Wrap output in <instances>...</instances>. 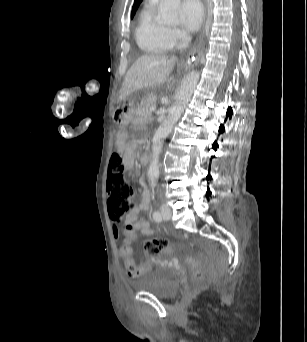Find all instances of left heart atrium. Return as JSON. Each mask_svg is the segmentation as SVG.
Instances as JSON below:
<instances>
[{
  "label": "left heart atrium",
  "mask_w": 307,
  "mask_h": 342,
  "mask_svg": "<svg viewBox=\"0 0 307 342\" xmlns=\"http://www.w3.org/2000/svg\"><path fill=\"white\" fill-rule=\"evenodd\" d=\"M181 13L180 38L183 43H189L203 23L204 9L198 1H186L181 7Z\"/></svg>",
  "instance_id": "obj_1"
}]
</instances>
